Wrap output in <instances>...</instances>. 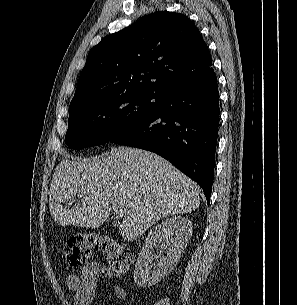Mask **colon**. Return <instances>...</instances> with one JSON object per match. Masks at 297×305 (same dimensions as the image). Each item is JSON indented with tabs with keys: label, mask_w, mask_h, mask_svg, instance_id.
Here are the masks:
<instances>
[{
	"label": "colon",
	"mask_w": 297,
	"mask_h": 305,
	"mask_svg": "<svg viewBox=\"0 0 297 305\" xmlns=\"http://www.w3.org/2000/svg\"><path fill=\"white\" fill-rule=\"evenodd\" d=\"M102 251L113 275L123 276L130 270L132 254L120 241L93 231L71 237L65 247V263L69 269H79Z\"/></svg>",
	"instance_id": "1"
}]
</instances>
